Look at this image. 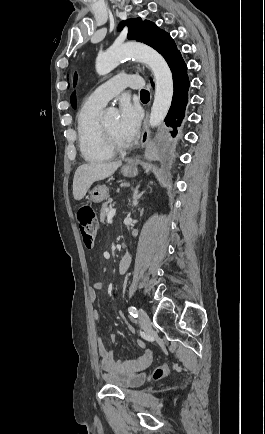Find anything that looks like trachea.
I'll use <instances>...</instances> for the list:
<instances>
[{
    "mask_svg": "<svg viewBox=\"0 0 265 434\" xmlns=\"http://www.w3.org/2000/svg\"><path fill=\"white\" fill-rule=\"evenodd\" d=\"M149 96V92L147 90H141V97Z\"/></svg>",
    "mask_w": 265,
    "mask_h": 434,
    "instance_id": "3493384b",
    "label": "trachea"
}]
</instances>
